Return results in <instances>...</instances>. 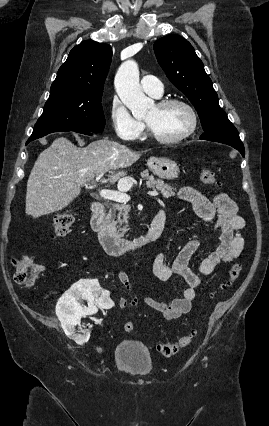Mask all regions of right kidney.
Here are the masks:
<instances>
[{
	"instance_id": "right-kidney-1",
	"label": "right kidney",
	"mask_w": 269,
	"mask_h": 426,
	"mask_svg": "<svg viewBox=\"0 0 269 426\" xmlns=\"http://www.w3.org/2000/svg\"><path fill=\"white\" fill-rule=\"evenodd\" d=\"M106 291L97 280H80L59 299L56 314L65 334L76 343L83 344L90 338L88 330H81L83 334L76 333L75 326L81 317L95 313L96 306L100 311H112L114 303ZM81 300H87L88 307H84Z\"/></svg>"
}]
</instances>
